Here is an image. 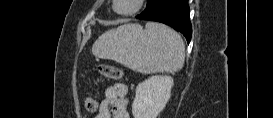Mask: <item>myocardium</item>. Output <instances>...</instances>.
Wrapping results in <instances>:
<instances>
[{"label":"myocardium","instance_id":"1","mask_svg":"<svg viewBox=\"0 0 273 118\" xmlns=\"http://www.w3.org/2000/svg\"><path fill=\"white\" fill-rule=\"evenodd\" d=\"M133 1H134V5L129 10H125V11L119 10L117 8L119 0H114L113 1L112 8L116 13H118L120 15H132V14H135L136 12H138L141 9V7H142V5L144 3V0H133Z\"/></svg>","mask_w":273,"mask_h":118}]
</instances>
